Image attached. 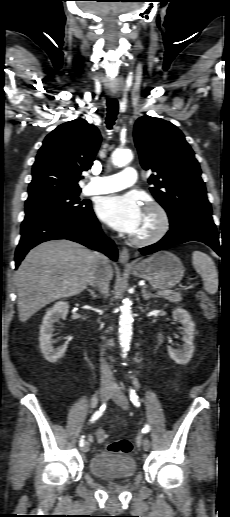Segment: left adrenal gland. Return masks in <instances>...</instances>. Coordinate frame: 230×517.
<instances>
[{
	"label": "left adrenal gland",
	"mask_w": 230,
	"mask_h": 517,
	"mask_svg": "<svg viewBox=\"0 0 230 517\" xmlns=\"http://www.w3.org/2000/svg\"><path fill=\"white\" fill-rule=\"evenodd\" d=\"M142 297L144 300H149L150 298L157 297L152 293H148L145 287L142 288Z\"/></svg>",
	"instance_id": "obj_1"
}]
</instances>
